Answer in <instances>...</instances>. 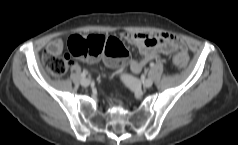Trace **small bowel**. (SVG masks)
Returning a JSON list of instances; mask_svg holds the SVG:
<instances>
[{
  "mask_svg": "<svg viewBox=\"0 0 238 145\" xmlns=\"http://www.w3.org/2000/svg\"><path fill=\"white\" fill-rule=\"evenodd\" d=\"M122 36L128 43L134 45L143 56L141 60L130 58V67L135 74L140 73L148 62L160 59L162 55H168L174 50H180L186 54L183 41L171 34L148 35L143 33H124ZM61 49L62 41L59 39L52 40L47 46V50L56 55L61 52ZM83 59L89 63L95 62L93 57Z\"/></svg>",
  "mask_w": 238,
  "mask_h": 145,
  "instance_id": "small-bowel-1",
  "label": "small bowel"
}]
</instances>
